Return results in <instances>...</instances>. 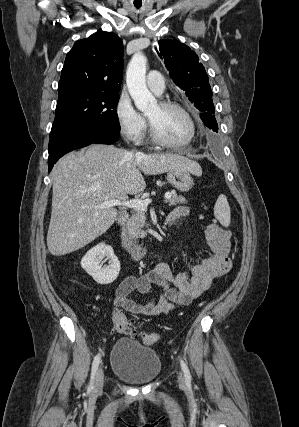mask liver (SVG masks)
I'll return each instance as SVG.
<instances>
[{"label":"liver","instance_id":"obj_1","mask_svg":"<svg viewBox=\"0 0 299 427\" xmlns=\"http://www.w3.org/2000/svg\"><path fill=\"white\" fill-rule=\"evenodd\" d=\"M183 169L201 176L200 165L177 154H145L104 144L70 152L54 166L52 213L47 246L54 256L76 251L105 233L117 217L109 200L128 201L144 191L142 172L156 175Z\"/></svg>","mask_w":299,"mask_h":427}]
</instances>
